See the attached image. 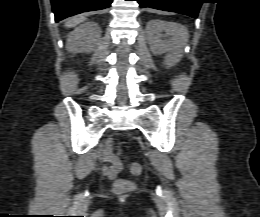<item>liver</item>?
<instances>
[{
    "mask_svg": "<svg viewBox=\"0 0 260 217\" xmlns=\"http://www.w3.org/2000/svg\"><path fill=\"white\" fill-rule=\"evenodd\" d=\"M85 20H86V18L84 16L73 17V18L67 20V22L65 23V27H67V28L75 27L76 25L84 22Z\"/></svg>",
    "mask_w": 260,
    "mask_h": 217,
    "instance_id": "liver-1",
    "label": "liver"
}]
</instances>
